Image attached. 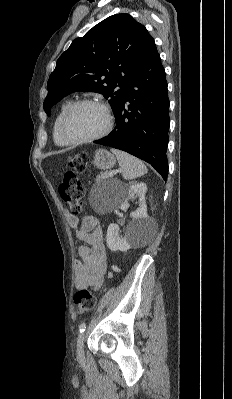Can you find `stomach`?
<instances>
[{
    "instance_id": "0dacf381",
    "label": "stomach",
    "mask_w": 232,
    "mask_h": 399,
    "mask_svg": "<svg viewBox=\"0 0 232 399\" xmlns=\"http://www.w3.org/2000/svg\"><path fill=\"white\" fill-rule=\"evenodd\" d=\"M115 162V156L107 152V150H96L93 164L97 168H100V170H110V168H113Z\"/></svg>"
}]
</instances>
